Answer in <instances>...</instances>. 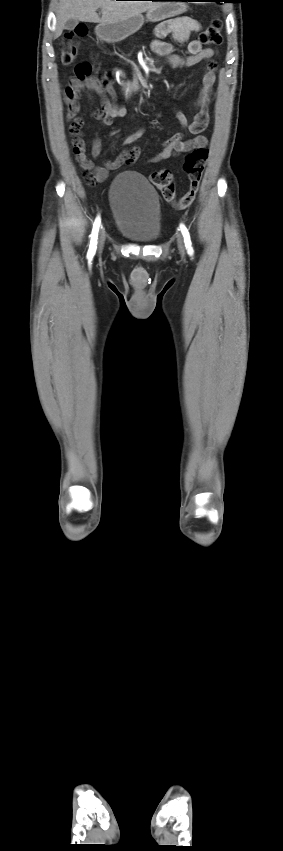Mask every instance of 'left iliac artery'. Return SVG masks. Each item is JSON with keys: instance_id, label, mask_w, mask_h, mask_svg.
Returning <instances> with one entry per match:
<instances>
[{"instance_id": "left-iliac-artery-1", "label": "left iliac artery", "mask_w": 283, "mask_h": 851, "mask_svg": "<svg viewBox=\"0 0 283 851\" xmlns=\"http://www.w3.org/2000/svg\"><path fill=\"white\" fill-rule=\"evenodd\" d=\"M180 228H181L182 235L184 237V242H185V246L187 248V251L190 255H192L193 249H192V246H191L192 243H191V239H190L188 229L183 224L180 225Z\"/></svg>"}]
</instances>
